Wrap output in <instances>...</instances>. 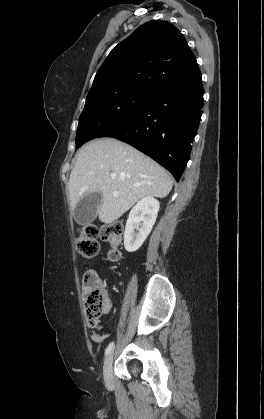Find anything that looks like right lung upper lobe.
<instances>
[{
  "label": "right lung upper lobe",
  "mask_w": 264,
  "mask_h": 419,
  "mask_svg": "<svg viewBox=\"0 0 264 419\" xmlns=\"http://www.w3.org/2000/svg\"><path fill=\"white\" fill-rule=\"evenodd\" d=\"M202 79L181 32L167 21L151 20L119 43L99 68L89 91L134 86L156 92Z\"/></svg>",
  "instance_id": "obj_1"
}]
</instances>
